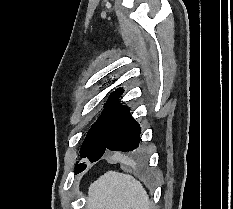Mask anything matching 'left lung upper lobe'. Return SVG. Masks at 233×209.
<instances>
[{
	"mask_svg": "<svg viewBox=\"0 0 233 209\" xmlns=\"http://www.w3.org/2000/svg\"><path fill=\"white\" fill-rule=\"evenodd\" d=\"M122 93L123 89L119 88L109 97L106 108L95 124L91 126L83 142L80 150L81 157L100 158L105 153L114 130L129 112L127 106L118 102Z\"/></svg>",
	"mask_w": 233,
	"mask_h": 209,
	"instance_id": "5c2ea615",
	"label": "left lung upper lobe"
}]
</instances>
